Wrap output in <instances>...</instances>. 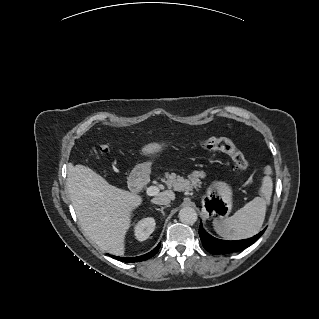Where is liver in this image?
Instances as JSON below:
<instances>
[{
  "label": "liver",
  "instance_id": "1",
  "mask_svg": "<svg viewBox=\"0 0 319 319\" xmlns=\"http://www.w3.org/2000/svg\"><path fill=\"white\" fill-rule=\"evenodd\" d=\"M67 190L85 235L101 250L116 256L123 255L132 211L142 204V197L110 185L82 165L69 172ZM159 195L175 199L172 190Z\"/></svg>",
  "mask_w": 319,
  "mask_h": 319
}]
</instances>
